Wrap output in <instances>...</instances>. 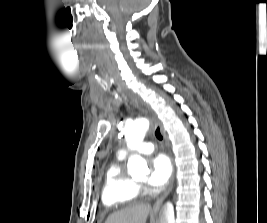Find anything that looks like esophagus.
Listing matches in <instances>:
<instances>
[{"label": "esophagus", "instance_id": "esophagus-1", "mask_svg": "<svg viewBox=\"0 0 267 223\" xmlns=\"http://www.w3.org/2000/svg\"><path fill=\"white\" fill-rule=\"evenodd\" d=\"M156 124L160 128L161 134H162L165 142L167 143V135H166V132H165V129H164L162 123L159 120H157L156 121ZM172 188H173V181L171 182L169 188L166 190V192L163 194V196L160 199H158L156 201V203L154 204V206H153V211L154 212H156V211L159 210L161 204L163 203V201L165 200V198L168 196V194L170 193V191L172 190Z\"/></svg>", "mask_w": 267, "mask_h": 223}]
</instances>
